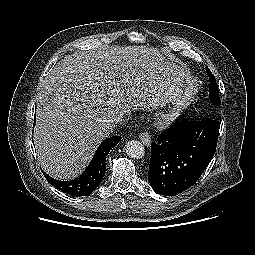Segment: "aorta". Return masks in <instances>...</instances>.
Wrapping results in <instances>:
<instances>
[{
  "instance_id": "obj_1",
  "label": "aorta",
  "mask_w": 255,
  "mask_h": 255,
  "mask_svg": "<svg viewBox=\"0 0 255 255\" xmlns=\"http://www.w3.org/2000/svg\"><path fill=\"white\" fill-rule=\"evenodd\" d=\"M126 153L131 158L140 159L144 157L145 149L141 142L137 140H131L126 144Z\"/></svg>"
}]
</instances>
